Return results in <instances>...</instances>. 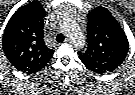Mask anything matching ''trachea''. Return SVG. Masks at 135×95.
Wrapping results in <instances>:
<instances>
[{
    "mask_svg": "<svg viewBox=\"0 0 135 95\" xmlns=\"http://www.w3.org/2000/svg\"><path fill=\"white\" fill-rule=\"evenodd\" d=\"M64 35L63 34H58L57 36H56V41L57 42H63L64 41Z\"/></svg>",
    "mask_w": 135,
    "mask_h": 95,
    "instance_id": "3493384b",
    "label": "trachea"
}]
</instances>
